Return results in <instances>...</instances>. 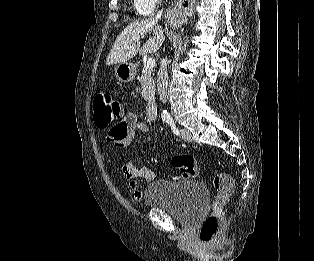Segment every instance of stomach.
Masks as SVG:
<instances>
[{"label": "stomach", "instance_id": "1", "mask_svg": "<svg viewBox=\"0 0 314 261\" xmlns=\"http://www.w3.org/2000/svg\"><path fill=\"white\" fill-rule=\"evenodd\" d=\"M115 75L119 81L129 83L135 79L136 65L129 62L119 63L115 68Z\"/></svg>", "mask_w": 314, "mask_h": 261}]
</instances>
